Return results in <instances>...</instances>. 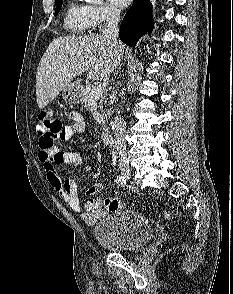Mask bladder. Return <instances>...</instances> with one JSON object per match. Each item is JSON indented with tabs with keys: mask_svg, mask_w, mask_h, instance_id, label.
<instances>
[{
	"mask_svg": "<svg viewBox=\"0 0 233 294\" xmlns=\"http://www.w3.org/2000/svg\"><path fill=\"white\" fill-rule=\"evenodd\" d=\"M94 238L103 248L121 253L135 252L153 238L154 230L148 220L134 210H117L98 221Z\"/></svg>",
	"mask_w": 233,
	"mask_h": 294,
	"instance_id": "bladder-1",
	"label": "bladder"
}]
</instances>
